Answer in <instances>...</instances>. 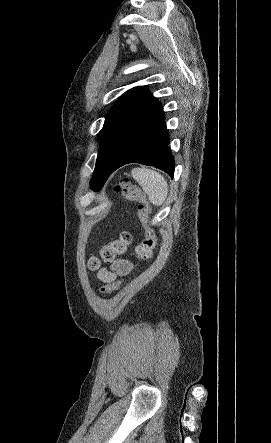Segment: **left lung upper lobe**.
<instances>
[{
    "instance_id": "left-lung-upper-lobe-1",
    "label": "left lung upper lobe",
    "mask_w": 271,
    "mask_h": 443,
    "mask_svg": "<svg viewBox=\"0 0 271 443\" xmlns=\"http://www.w3.org/2000/svg\"><path fill=\"white\" fill-rule=\"evenodd\" d=\"M145 87H135L124 93L106 116L100 136V149L90 187L102 188L110 175L119 143L137 112L149 95Z\"/></svg>"
}]
</instances>
